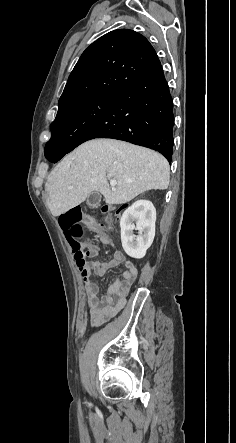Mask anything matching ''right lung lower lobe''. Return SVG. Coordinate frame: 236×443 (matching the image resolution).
<instances>
[{
    "label": "right lung lower lobe",
    "instance_id": "obj_1",
    "mask_svg": "<svg viewBox=\"0 0 236 443\" xmlns=\"http://www.w3.org/2000/svg\"><path fill=\"white\" fill-rule=\"evenodd\" d=\"M173 125V100L158 59L138 80L115 95L82 125L68 147L46 148L45 157L56 163L87 140L113 138L156 150L171 162Z\"/></svg>",
    "mask_w": 236,
    "mask_h": 443
}]
</instances>
